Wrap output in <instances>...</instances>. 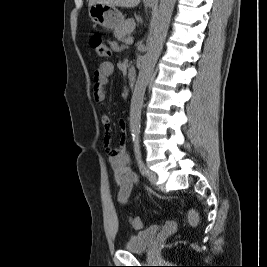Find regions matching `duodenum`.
I'll use <instances>...</instances> for the list:
<instances>
[{
    "label": "duodenum",
    "mask_w": 267,
    "mask_h": 267,
    "mask_svg": "<svg viewBox=\"0 0 267 267\" xmlns=\"http://www.w3.org/2000/svg\"><path fill=\"white\" fill-rule=\"evenodd\" d=\"M136 77H137L136 69L134 67H130L128 69V81L131 87L135 84Z\"/></svg>",
    "instance_id": "1"
}]
</instances>
